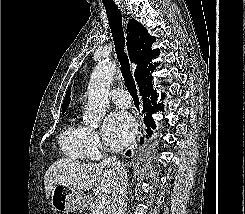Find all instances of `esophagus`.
<instances>
[{"label": "esophagus", "mask_w": 245, "mask_h": 214, "mask_svg": "<svg viewBox=\"0 0 245 214\" xmlns=\"http://www.w3.org/2000/svg\"><path fill=\"white\" fill-rule=\"evenodd\" d=\"M119 7L121 8L122 11H125L123 5H119ZM143 135H144V128H143V126L140 125L139 130L137 132V137L130 146V150L132 151V153L137 152L138 149L140 148V138Z\"/></svg>", "instance_id": "1"}]
</instances>
